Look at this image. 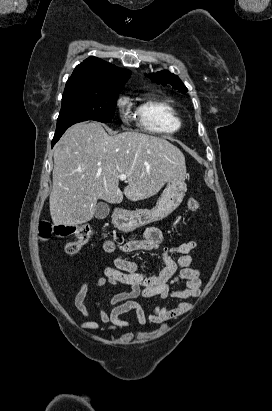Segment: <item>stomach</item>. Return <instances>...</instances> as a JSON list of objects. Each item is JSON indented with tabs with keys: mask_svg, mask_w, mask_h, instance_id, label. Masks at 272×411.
I'll return each instance as SVG.
<instances>
[{
	"mask_svg": "<svg viewBox=\"0 0 272 411\" xmlns=\"http://www.w3.org/2000/svg\"><path fill=\"white\" fill-rule=\"evenodd\" d=\"M186 193V184L181 178L167 182L163 194L152 209L135 211L121 210L112 216L113 225L123 232L133 231L141 226L164 219L181 204Z\"/></svg>",
	"mask_w": 272,
	"mask_h": 411,
	"instance_id": "0dacf381",
	"label": "stomach"
}]
</instances>
